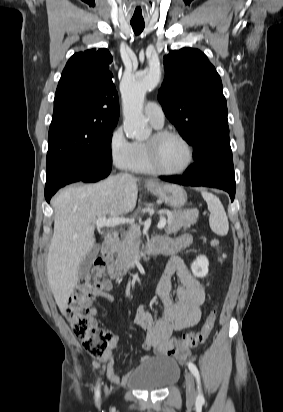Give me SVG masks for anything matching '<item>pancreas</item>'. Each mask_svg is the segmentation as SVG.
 I'll list each match as a JSON object with an SVG mask.
<instances>
[{"instance_id":"1","label":"pancreas","mask_w":283,"mask_h":412,"mask_svg":"<svg viewBox=\"0 0 283 412\" xmlns=\"http://www.w3.org/2000/svg\"><path fill=\"white\" fill-rule=\"evenodd\" d=\"M167 226L165 232L167 234H176L182 228L188 229L195 224L198 219L197 210L175 211L167 214ZM140 245V229L137 227L130 228L118 241L115 252L117 261L121 265H132L135 254L139 251Z\"/></svg>"}]
</instances>
